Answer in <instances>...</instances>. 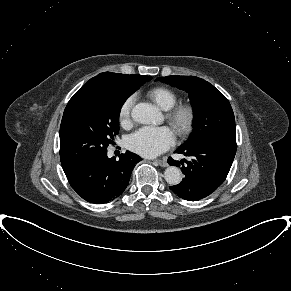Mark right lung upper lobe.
<instances>
[{"instance_id": "right-lung-upper-lobe-1", "label": "right lung upper lobe", "mask_w": 291, "mask_h": 291, "mask_svg": "<svg viewBox=\"0 0 291 291\" xmlns=\"http://www.w3.org/2000/svg\"><path fill=\"white\" fill-rule=\"evenodd\" d=\"M151 79V76L146 75H127L120 73L104 72L90 79L83 85V87H81V89L91 84L104 83L108 85H119L124 88L136 91L140 86H142L144 83Z\"/></svg>"}]
</instances>
